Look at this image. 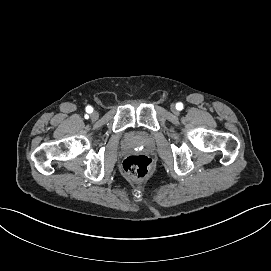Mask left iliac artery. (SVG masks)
Masks as SVG:
<instances>
[{"label": "left iliac artery", "mask_w": 271, "mask_h": 271, "mask_svg": "<svg viewBox=\"0 0 271 271\" xmlns=\"http://www.w3.org/2000/svg\"><path fill=\"white\" fill-rule=\"evenodd\" d=\"M176 108H177V110H182L183 109V104L182 103H177L176 104Z\"/></svg>", "instance_id": "1"}]
</instances>
